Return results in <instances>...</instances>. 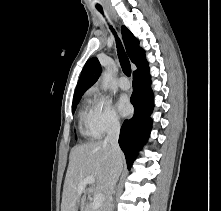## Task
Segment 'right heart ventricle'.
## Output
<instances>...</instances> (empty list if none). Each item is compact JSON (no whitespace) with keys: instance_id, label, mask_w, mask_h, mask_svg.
<instances>
[{"instance_id":"e07e8e85","label":"right heart ventricle","mask_w":221,"mask_h":211,"mask_svg":"<svg viewBox=\"0 0 221 211\" xmlns=\"http://www.w3.org/2000/svg\"><path fill=\"white\" fill-rule=\"evenodd\" d=\"M79 121L81 125V134L88 139L98 138V134L92 127L90 109L87 107L82 108L79 113Z\"/></svg>"}]
</instances>
